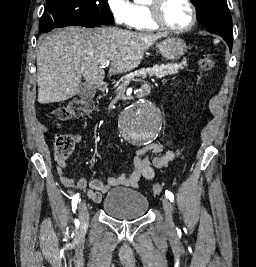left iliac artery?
<instances>
[{"mask_svg":"<svg viewBox=\"0 0 256 267\" xmlns=\"http://www.w3.org/2000/svg\"><path fill=\"white\" fill-rule=\"evenodd\" d=\"M165 195H166V197H167L171 202L174 201V195H173L172 192L166 190V191H165Z\"/></svg>","mask_w":256,"mask_h":267,"instance_id":"44dca946","label":"left iliac artery"}]
</instances>
